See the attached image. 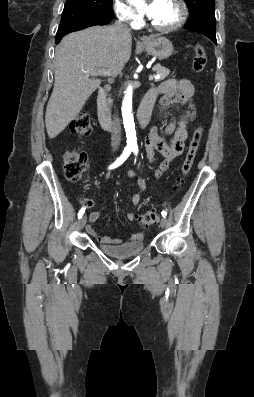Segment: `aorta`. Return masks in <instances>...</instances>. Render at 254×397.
Returning <instances> with one entry per match:
<instances>
[{"label": "aorta", "mask_w": 254, "mask_h": 397, "mask_svg": "<svg viewBox=\"0 0 254 397\" xmlns=\"http://www.w3.org/2000/svg\"><path fill=\"white\" fill-rule=\"evenodd\" d=\"M122 116L123 123L127 137V146H137V138L135 131V123L132 113V87L129 86L125 91V96L122 102Z\"/></svg>", "instance_id": "1"}]
</instances>
